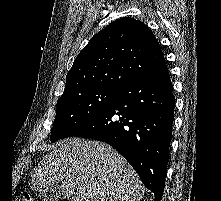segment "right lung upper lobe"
Listing matches in <instances>:
<instances>
[{"instance_id": "1", "label": "right lung upper lobe", "mask_w": 221, "mask_h": 201, "mask_svg": "<svg viewBox=\"0 0 221 201\" xmlns=\"http://www.w3.org/2000/svg\"><path fill=\"white\" fill-rule=\"evenodd\" d=\"M164 62L152 31L140 21L123 17L97 33L79 53L62 95L95 87L118 90Z\"/></svg>"}]
</instances>
